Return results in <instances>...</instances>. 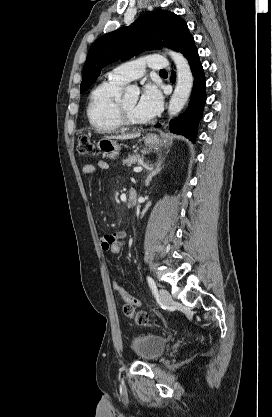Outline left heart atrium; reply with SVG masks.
I'll list each match as a JSON object with an SVG mask.
<instances>
[{"instance_id":"left-heart-atrium-1","label":"left heart atrium","mask_w":272,"mask_h":417,"mask_svg":"<svg viewBox=\"0 0 272 417\" xmlns=\"http://www.w3.org/2000/svg\"><path fill=\"white\" fill-rule=\"evenodd\" d=\"M162 104L163 97L158 86L146 84L137 103L136 111L144 120H148L161 111Z\"/></svg>"}]
</instances>
